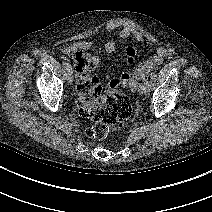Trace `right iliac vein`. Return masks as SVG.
<instances>
[{"label": "right iliac vein", "mask_w": 212, "mask_h": 212, "mask_svg": "<svg viewBox=\"0 0 212 212\" xmlns=\"http://www.w3.org/2000/svg\"><path fill=\"white\" fill-rule=\"evenodd\" d=\"M67 81H68V84H69V85H72V83H73V73H72L71 69L68 70V73H67Z\"/></svg>", "instance_id": "right-iliac-vein-1"}]
</instances>
